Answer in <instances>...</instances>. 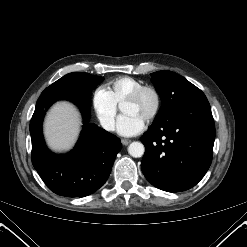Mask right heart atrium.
I'll use <instances>...</instances> for the list:
<instances>
[{
  "mask_svg": "<svg viewBox=\"0 0 247 247\" xmlns=\"http://www.w3.org/2000/svg\"><path fill=\"white\" fill-rule=\"evenodd\" d=\"M93 108L102 128L109 132L113 131L118 104L114 101L108 89L100 87L94 92Z\"/></svg>",
  "mask_w": 247,
  "mask_h": 247,
  "instance_id": "obj_1",
  "label": "right heart atrium"
}]
</instances>
